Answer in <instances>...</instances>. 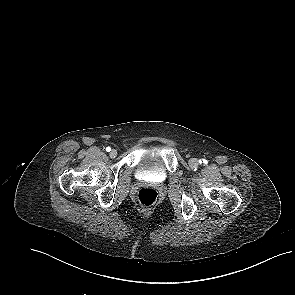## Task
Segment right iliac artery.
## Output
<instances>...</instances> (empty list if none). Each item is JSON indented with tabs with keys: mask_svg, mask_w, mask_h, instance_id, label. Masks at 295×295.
I'll return each instance as SVG.
<instances>
[{
	"mask_svg": "<svg viewBox=\"0 0 295 295\" xmlns=\"http://www.w3.org/2000/svg\"><path fill=\"white\" fill-rule=\"evenodd\" d=\"M106 151H107V152H110V151H111V148H110V147H107V148H106Z\"/></svg>",
	"mask_w": 295,
	"mask_h": 295,
	"instance_id": "1",
	"label": "right iliac artery"
}]
</instances>
